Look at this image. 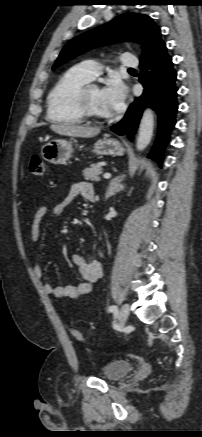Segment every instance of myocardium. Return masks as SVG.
I'll use <instances>...</instances> for the list:
<instances>
[{"label":"myocardium","instance_id":"1","mask_svg":"<svg viewBox=\"0 0 202 437\" xmlns=\"http://www.w3.org/2000/svg\"><path fill=\"white\" fill-rule=\"evenodd\" d=\"M95 86L94 84H85L77 93L76 104L79 113L83 119L92 122H107L111 120L110 116H100L93 112L88 102V90Z\"/></svg>","mask_w":202,"mask_h":437}]
</instances>
